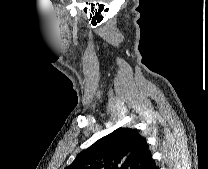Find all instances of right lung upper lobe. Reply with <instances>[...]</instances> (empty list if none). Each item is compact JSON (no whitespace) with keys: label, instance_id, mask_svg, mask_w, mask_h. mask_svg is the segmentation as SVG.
Listing matches in <instances>:
<instances>
[{"label":"right lung upper lobe","instance_id":"cb5924a9","mask_svg":"<svg viewBox=\"0 0 208 169\" xmlns=\"http://www.w3.org/2000/svg\"><path fill=\"white\" fill-rule=\"evenodd\" d=\"M152 160L146 139L131 128H118L80 152L65 169H144Z\"/></svg>","mask_w":208,"mask_h":169}]
</instances>
